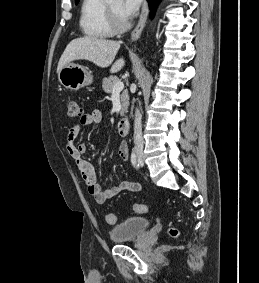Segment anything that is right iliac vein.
Returning a JSON list of instances; mask_svg holds the SVG:
<instances>
[{
	"label": "right iliac vein",
	"mask_w": 259,
	"mask_h": 283,
	"mask_svg": "<svg viewBox=\"0 0 259 283\" xmlns=\"http://www.w3.org/2000/svg\"><path fill=\"white\" fill-rule=\"evenodd\" d=\"M139 157L141 158V157H142V155H141V154H139Z\"/></svg>",
	"instance_id": "right-iliac-vein-1"
}]
</instances>
